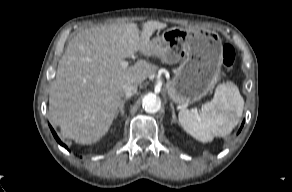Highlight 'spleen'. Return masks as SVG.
Wrapping results in <instances>:
<instances>
[{
	"instance_id": "obj_1",
	"label": "spleen",
	"mask_w": 292,
	"mask_h": 192,
	"mask_svg": "<svg viewBox=\"0 0 292 192\" xmlns=\"http://www.w3.org/2000/svg\"><path fill=\"white\" fill-rule=\"evenodd\" d=\"M244 100L232 82L219 84L210 102L202 105L200 113L182 109L178 119L182 128L196 140L210 142L214 137L229 135L239 123Z\"/></svg>"
}]
</instances>
